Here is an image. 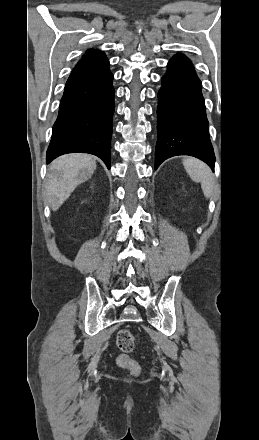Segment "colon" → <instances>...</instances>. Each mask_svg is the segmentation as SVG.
<instances>
[{"mask_svg": "<svg viewBox=\"0 0 259 440\" xmlns=\"http://www.w3.org/2000/svg\"><path fill=\"white\" fill-rule=\"evenodd\" d=\"M116 343L121 351V354L117 358L118 365L133 374H137L139 372V365L129 355L135 347L134 335L127 329H121L117 333Z\"/></svg>", "mask_w": 259, "mask_h": 440, "instance_id": "colon-1", "label": "colon"}]
</instances>
